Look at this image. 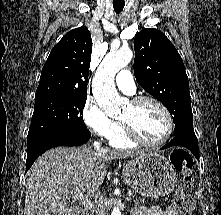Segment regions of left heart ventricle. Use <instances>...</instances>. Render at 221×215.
<instances>
[{
  "instance_id": "left-heart-ventricle-1",
  "label": "left heart ventricle",
  "mask_w": 221,
  "mask_h": 215,
  "mask_svg": "<svg viewBox=\"0 0 221 215\" xmlns=\"http://www.w3.org/2000/svg\"><path fill=\"white\" fill-rule=\"evenodd\" d=\"M120 119L130 122L137 133L148 142L159 141L166 133L167 122L161 109L152 102L129 103Z\"/></svg>"
}]
</instances>
